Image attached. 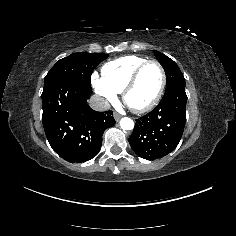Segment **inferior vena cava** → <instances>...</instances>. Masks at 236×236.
<instances>
[{"instance_id":"obj_1","label":"inferior vena cava","mask_w":236,"mask_h":236,"mask_svg":"<svg viewBox=\"0 0 236 236\" xmlns=\"http://www.w3.org/2000/svg\"><path fill=\"white\" fill-rule=\"evenodd\" d=\"M89 107L94 111H105L110 107L109 102L100 95H93L88 101Z\"/></svg>"}]
</instances>
